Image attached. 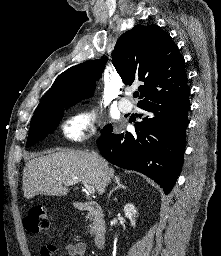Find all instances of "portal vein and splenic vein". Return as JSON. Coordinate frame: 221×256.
<instances>
[{
	"label": "portal vein and splenic vein",
	"instance_id": "1",
	"mask_svg": "<svg viewBox=\"0 0 221 256\" xmlns=\"http://www.w3.org/2000/svg\"><path fill=\"white\" fill-rule=\"evenodd\" d=\"M80 182V180L78 179H73V180H70V181H67V182H64L65 185L67 186H70V185H74L76 183ZM86 191L89 193V194H94L95 193V188L85 182H82Z\"/></svg>",
	"mask_w": 221,
	"mask_h": 256
}]
</instances>
